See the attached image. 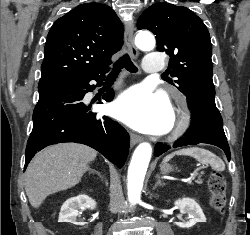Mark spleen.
I'll return each mask as SVG.
<instances>
[{
  "label": "spleen",
  "instance_id": "3e777b00",
  "mask_svg": "<svg viewBox=\"0 0 250 235\" xmlns=\"http://www.w3.org/2000/svg\"><path fill=\"white\" fill-rule=\"evenodd\" d=\"M175 155L191 156L202 164H206V165L209 164L216 171H224L225 170V164L219 157H217L212 152L205 150V149H202V148L193 147V148L178 150L176 152L168 154L163 159V162L164 163L168 162Z\"/></svg>",
  "mask_w": 250,
  "mask_h": 235
}]
</instances>
